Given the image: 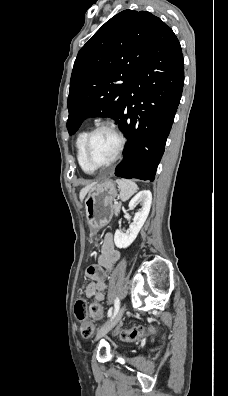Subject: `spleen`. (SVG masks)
Instances as JSON below:
<instances>
[{"mask_svg": "<svg viewBox=\"0 0 228 396\" xmlns=\"http://www.w3.org/2000/svg\"><path fill=\"white\" fill-rule=\"evenodd\" d=\"M117 184L120 187V198L122 201H127L138 190L135 182L127 179H117Z\"/></svg>", "mask_w": 228, "mask_h": 396, "instance_id": "1", "label": "spleen"}]
</instances>
